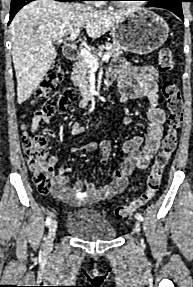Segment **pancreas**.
Returning a JSON list of instances; mask_svg holds the SVG:
<instances>
[{"label":"pancreas","instance_id":"1","mask_svg":"<svg viewBox=\"0 0 193 287\" xmlns=\"http://www.w3.org/2000/svg\"><path fill=\"white\" fill-rule=\"evenodd\" d=\"M108 51L113 59H118L123 54V47L120 44L113 43L101 45L98 50L94 51L93 57L98 59L97 53ZM77 64L73 68L72 80L75 86L79 87L80 92L87 96L89 94V77L91 75V68L86 64L81 55L77 56Z\"/></svg>","mask_w":193,"mask_h":287}]
</instances>
